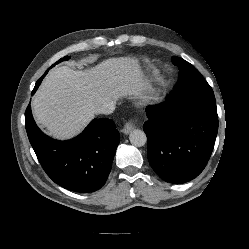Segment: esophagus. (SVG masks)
<instances>
[{
	"label": "esophagus",
	"instance_id": "esophagus-1",
	"mask_svg": "<svg viewBox=\"0 0 249 249\" xmlns=\"http://www.w3.org/2000/svg\"><path fill=\"white\" fill-rule=\"evenodd\" d=\"M135 127H136L135 122H134V121H129V122H127V123L124 125V127H123V129H122V132H123L124 134H129Z\"/></svg>",
	"mask_w": 249,
	"mask_h": 249
}]
</instances>
